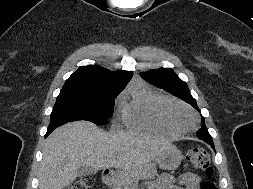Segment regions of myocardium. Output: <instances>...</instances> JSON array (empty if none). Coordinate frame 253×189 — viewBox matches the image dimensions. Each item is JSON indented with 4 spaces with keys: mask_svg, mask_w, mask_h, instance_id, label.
I'll use <instances>...</instances> for the list:
<instances>
[{
    "mask_svg": "<svg viewBox=\"0 0 253 189\" xmlns=\"http://www.w3.org/2000/svg\"><path fill=\"white\" fill-rule=\"evenodd\" d=\"M179 110L185 111L190 116L191 124L189 126H183L177 121L175 115ZM160 116L166 125L179 134L189 133L195 130L198 125L195 112L187 105L175 100H169L161 106Z\"/></svg>",
    "mask_w": 253,
    "mask_h": 189,
    "instance_id": "f54148a6",
    "label": "myocardium"
}]
</instances>
